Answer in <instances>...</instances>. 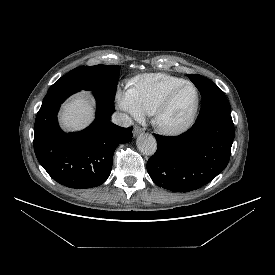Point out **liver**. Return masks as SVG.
Returning <instances> with one entry per match:
<instances>
[{
	"label": "liver",
	"instance_id": "obj_1",
	"mask_svg": "<svg viewBox=\"0 0 275 275\" xmlns=\"http://www.w3.org/2000/svg\"><path fill=\"white\" fill-rule=\"evenodd\" d=\"M93 119V103L87 94H79L68 101L62 109L60 122L67 130H79Z\"/></svg>",
	"mask_w": 275,
	"mask_h": 275
}]
</instances>
